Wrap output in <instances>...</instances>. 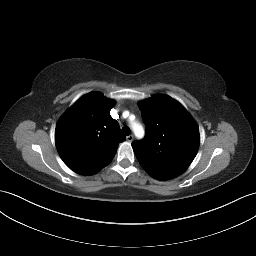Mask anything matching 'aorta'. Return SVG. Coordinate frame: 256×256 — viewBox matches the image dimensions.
<instances>
[{
	"label": "aorta",
	"instance_id": "762f6f07",
	"mask_svg": "<svg viewBox=\"0 0 256 256\" xmlns=\"http://www.w3.org/2000/svg\"><path fill=\"white\" fill-rule=\"evenodd\" d=\"M132 129L134 131V134L136 135V137L141 138L143 137L144 134V130L141 124L137 123V122H132Z\"/></svg>",
	"mask_w": 256,
	"mask_h": 256
}]
</instances>
